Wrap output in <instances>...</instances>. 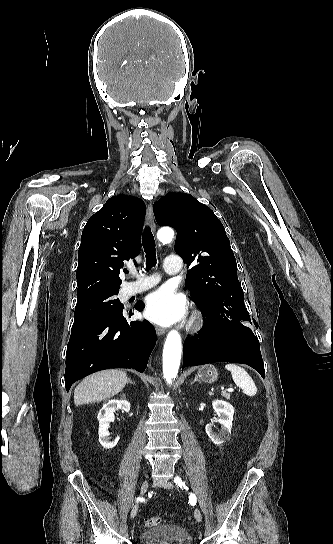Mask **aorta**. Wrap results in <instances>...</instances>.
<instances>
[{
  "instance_id": "762f6f07",
  "label": "aorta",
  "mask_w": 333,
  "mask_h": 544,
  "mask_svg": "<svg viewBox=\"0 0 333 544\" xmlns=\"http://www.w3.org/2000/svg\"><path fill=\"white\" fill-rule=\"evenodd\" d=\"M158 239L166 244L172 241L174 232L171 228L165 227L158 231ZM182 353L181 337L178 331L171 330L166 338L163 349V374L168 384L176 378L180 366Z\"/></svg>"
}]
</instances>
